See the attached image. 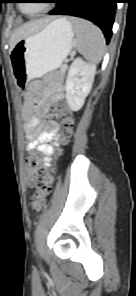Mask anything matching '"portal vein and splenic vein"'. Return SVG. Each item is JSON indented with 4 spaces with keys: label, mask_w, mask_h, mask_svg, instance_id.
Masks as SVG:
<instances>
[{
    "label": "portal vein and splenic vein",
    "mask_w": 136,
    "mask_h": 296,
    "mask_svg": "<svg viewBox=\"0 0 136 296\" xmlns=\"http://www.w3.org/2000/svg\"><path fill=\"white\" fill-rule=\"evenodd\" d=\"M67 68V65L66 64H64L63 66H62V70H64V69H66Z\"/></svg>",
    "instance_id": "1"
}]
</instances>
